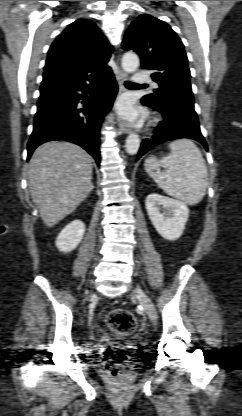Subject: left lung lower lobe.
Wrapping results in <instances>:
<instances>
[{
  "instance_id": "1",
  "label": "left lung lower lobe",
  "mask_w": 242,
  "mask_h": 416,
  "mask_svg": "<svg viewBox=\"0 0 242 416\" xmlns=\"http://www.w3.org/2000/svg\"><path fill=\"white\" fill-rule=\"evenodd\" d=\"M142 103L159 111L164 120L156 127V134L152 138L143 140L137 159L160 143L182 138L196 140L207 149L206 141L200 131L194 104L174 99L158 104L146 101H142Z\"/></svg>"
}]
</instances>
